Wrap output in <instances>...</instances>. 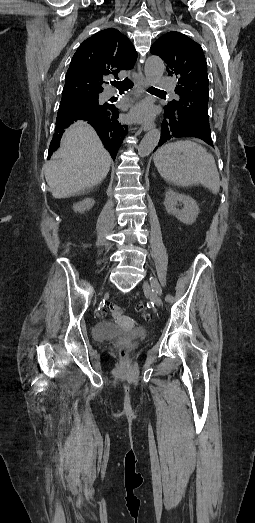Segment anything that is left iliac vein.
Returning a JSON list of instances; mask_svg holds the SVG:
<instances>
[{
  "mask_svg": "<svg viewBox=\"0 0 255 523\" xmlns=\"http://www.w3.org/2000/svg\"><path fill=\"white\" fill-rule=\"evenodd\" d=\"M150 283H151V286H156L158 288H161L158 280L155 277H150ZM151 286L148 282H144L143 289H144L145 293L150 297L151 301L156 306L160 307L162 305V300H161L160 296L155 291H153Z\"/></svg>",
  "mask_w": 255,
  "mask_h": 523,
  "instance_id": "1",
  "label": "left iliac vein"
}]
</instances>
